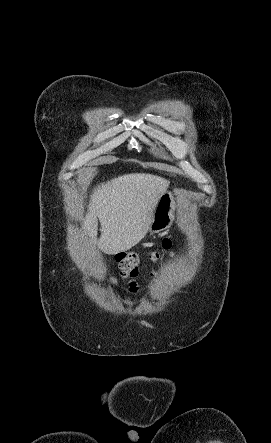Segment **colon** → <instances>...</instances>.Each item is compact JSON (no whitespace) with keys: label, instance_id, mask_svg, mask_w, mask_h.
Segmentation results:
<instances>
[{"label":"colon","instance_id":"colon-1","mask_svg":"<svg viewBox=\"0 0 271 443\" xmlns=\"http://www.w3.org/2000/svg\"><path fill=\"white\" fill-rule=\"evenodd\" d=\"M172 247L170 239H164L162 242V250L169 251ZM162 255V252L156 251L152 253V259L157 261ZM115 260L119 265V269L124 278L130 282V291L136 293L138 288L135 280L139 275V256L133 251L118 252L115 255Z\"/></svg>","mask_w":271,"mask_h":443}]
</instances>
